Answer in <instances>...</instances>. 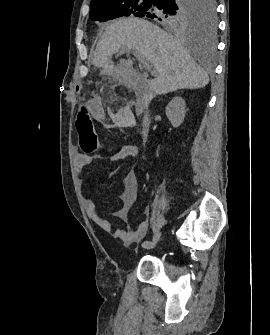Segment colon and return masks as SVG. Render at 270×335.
<instances>
[{
  "label": "colon",
  "mask_w": 270,
  "mask_h": 335,
  "mask_svg": "<svg viewBox=\"0 0 270 335\" xmlns=\"http://www.w3.org/2000/svg\"><path fill=\"white\" fill-rule=\"evenodd\" d=\"M76 123H78V133L84 134L82 143L84 153L88 155L94 154L100 144L92 124L93 116H89L88 110H77Z\"/></svg>",
  "instance_id": "1"
}]
</instances>
